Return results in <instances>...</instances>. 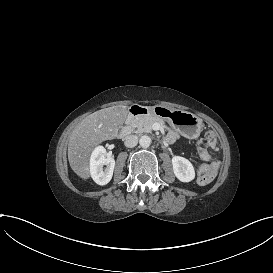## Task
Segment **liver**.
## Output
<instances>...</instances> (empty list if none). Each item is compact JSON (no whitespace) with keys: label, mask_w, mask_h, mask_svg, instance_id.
I'll list each match as a JSON object with an SVG mask.
<instances>
[{"label":"liver","mask_w":273,"mask_h":273,"mask_svg":"<svg viewBox=\"0 0 273 273\" xmlns=\"http://www.w3.org/2000/svg\"><path fill=\"white\" fill-rule=\"evenodd\" d=\"M127 115V106L116 105L88 115L75 127L68 143V160L78 176L89 178V157L93 148L105 140L116 138Z\"/></svg>","instance_id":"liver-1"}]
</instances>
